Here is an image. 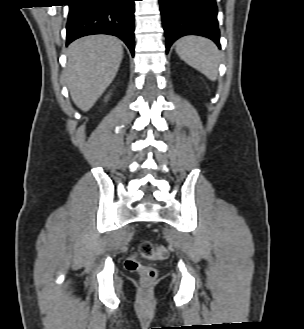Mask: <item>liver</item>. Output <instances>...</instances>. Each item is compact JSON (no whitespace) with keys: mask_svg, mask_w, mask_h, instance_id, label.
<instances>
[{"mask_svg":"<svg viewBox=\"0 0 304 329\" xmlns=\"http://www.w3.org/2000/svg\"><path fill=\"white\" fill-rule=\"evenodd\" d=\"M123 58L119 39L91 35L71 43L67 49L66 84L73 102L88 111L111 84Z\"/></svg>","mask_w":304,"mask_h":329,"instance_id":"obj_1","label":"liver"}]
</instances>
